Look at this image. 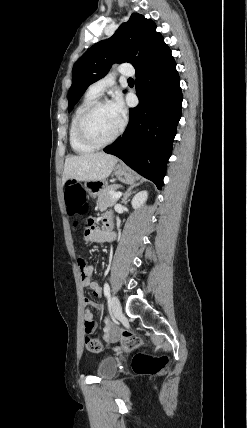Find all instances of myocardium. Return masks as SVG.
Returning <instances> with one entry per match:
<instances>
[{
	"label": "myocardium",
	"mask_w": 247,
	"mask_h": 428,
	"mask_svg": "<svg viewBox=\"0 0 247 428\" xmlns=\"http://www.w3.org/2000/svg\"><path fill=\"white\" fill-rule=\"evenodd\" d=\"M108 105V103L103 99H97L94 102H92L80 115L78 122H77V133L79 138L86 144L95 147V148H102L105 146H108L112 144L120 135L122 131V125H119L117 130L114 132V134L105 141H98L96 140L87 129V121L90 115L99 107Z\"/></svg>",
	"instance_id": "myocardium-1"
}]
</instances>
